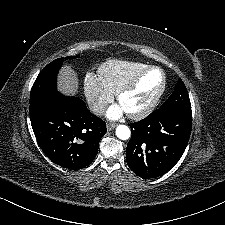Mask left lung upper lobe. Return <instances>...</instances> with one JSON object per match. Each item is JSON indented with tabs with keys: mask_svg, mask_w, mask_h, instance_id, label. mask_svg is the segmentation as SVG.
<instances>
[{
	"mask_svg": "<svg viewBox=\"0 0 225 225\" xmlns=\"http://www.w3.org/2000/svg\"><path fill=\"white\" fill-rule=\"evenodd\" d=\"M178 108H191L187 89L181 79L178 80L171 96L159 109L168 110Z\"/></svg>",
	"mask_w": 225,
	"mask_h": 225,
	"instance_id": "5c2ea615",
	"label": "left lung upper lobe"
}]
</instances>
